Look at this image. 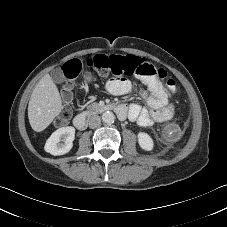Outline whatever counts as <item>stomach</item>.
Segmentation results:
<instances>
[{
  "mask_svg": "<svg viewBox=\"0 0 227 227\" xmlns=\"http://www.w3.org/2000/svg\"><path fill=\"white\" fill-rule=\"evenodd\" d=\"M91 77H92L91 73H88V74L86 75V78H87V79H91Z\"/></svg>",
  "mask_w": 227,
  "mask_h": 227,
  "instance_id": "1",
  "label": "stomach"
}]
</instances>
